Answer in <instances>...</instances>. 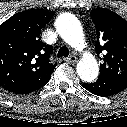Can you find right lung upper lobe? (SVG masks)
<instances>
[{
    "label": "right lung upper lobe",
    "mask_w": 127,
    "mask_h": 127,
    "mask_svg": "<svg viewBox=\"0 0 127 127\" xmlns=\"http://www.w3.org/2000/svg\"><path fill=\"white\" fill-rule=\"evenodd\" d=\"M53 11L30 9L0 25V85H36L45 82L55 66L49 62L52 46L41 41V29Z\"/></svg>",
    "instance_id": "1"
}]
</instances>
